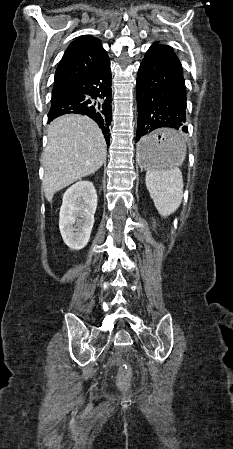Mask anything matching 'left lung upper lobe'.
<instances>
[{
  "mask_svg": "<svg viewBox=\"0 0 233 449\" xmlns=\"http://www.w3.org/2000/svg\"><path fill=\"white\" fill-rule=\"evenodd\" d=\"M151 48L161 52L167 58L180 64V61H179L178 57L176 56V54L174 53L172 47H170L168 45H159L157 43H154L151 46Z\"/></svg>",
  "mask_w": 233,
  "mask_h": 449,
  "instance_id": "1",
  "label": "left lung upper lobe"
}]
</instances>
